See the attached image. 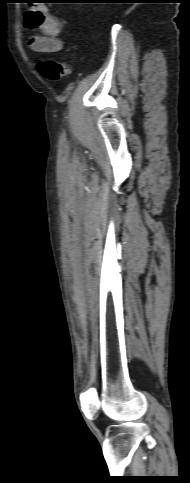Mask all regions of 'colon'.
I'll return each mask as SVG.
<instances>
[{"label": "colon", "mask_w": 190, "mask_h": 483, "mask_svg": "<svg viewBox=\"0 0 190 483\" xmlns=\"http://www.w3.org/2000/svg\"><path fill=\"white\" fill-rule=\"evenodd\" d=\"M38 72L48 81L57 82L68 76L70 68L62 60H44L37 65Z\"/></svg>", "instance_id": "obj_1"}]
</instances>
